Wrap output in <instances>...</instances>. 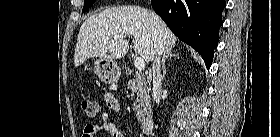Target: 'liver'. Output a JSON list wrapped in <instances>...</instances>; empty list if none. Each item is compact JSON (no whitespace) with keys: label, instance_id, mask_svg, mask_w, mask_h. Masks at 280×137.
I'll return each instance as SVG.
<instances>
[{"label":"liver","instance_id":"obj_1","mask_svg":"<svg viewBox=\"0 0 280 137\" xmlns=\"http://www.w3.org/2000/svg\"><path fill=\"white\" fill-rule=\"evenodd\" d=\"M133 36L134 51L147 63L176 45L177 37L160 17L139 6L106 9L90 16L81 25L76 43L74 64L82 65L90 57L121 59L129 50L125 38Z\"/></svg>","mask_w":280,"mask_h":137}]
</instances>
